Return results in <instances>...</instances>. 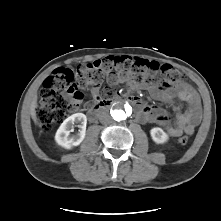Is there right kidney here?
Masks as SVG:
<instances>
[{
    "label": "right kidney",
    "mask_w": 221,
    "mask_h": 221,
    "mask_svg": "<svg viewBox=\"0 0 221 221\" xmlns=\"http://www.w3.org/2000/svg\"><path fill=\"white\" fill-rule=\"evenodd\" d=\"M75 123L78 125L79 132L76 135L70 136V132ZM87 118L83 113H76L69 116L63 121L55 134V141L58 145L70 149L78 146L85 138L86 135Z\"/></svg>",
    "instance_id": "obj_1"
}]
</instances>
